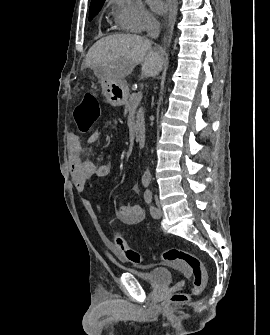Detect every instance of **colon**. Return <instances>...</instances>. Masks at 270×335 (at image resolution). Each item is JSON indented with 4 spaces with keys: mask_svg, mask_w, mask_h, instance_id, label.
I'll list each match as a JSON object with an SVG mask.
<instances>
[{
    "mask_svg": "<svg viewBox=\"0 0 270 335\" xmlns=\"http://www.w3.org/2000/svg\"><path fill=\"white\" fill-rule=\"evenodd\" d=\"M101 111L98 99L92 94H85L76 108L72 111L74 122L78 125V130L84 134L88 133L97 123ZM117 254L131 264L142 266L145 262L143 256L130 248L121 236L117 237ZM163 260L169 261L174 266L189 271L192 276V288L190 293H176L173 295L174 302H184L190 296L199 295L206 287V271L201 259L184 248H169L162 252Z\"/></svg>",
    "mask_w": 270,
    "mask_h": 335,
    "instance_id": "5ec220e1",
    "label": "colon"
}]
</instances>
